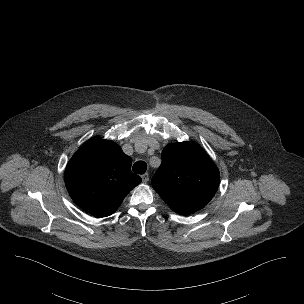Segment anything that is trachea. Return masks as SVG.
<instances>
[{
  "mask_svg": "<svg viewBox=\"0 0 304 304\" xmlns=\"http://www.w3.org/2000/svg\"><path fill=\"white\" fill-rule=\"evenodd\" d=\"M146 169L147 164L144 161H137L132 167L133 172L137 174H144L146 172Z\"/></svg>",
  "mask_w": 304,
  "mask_h": 304,
  "instance_id": "3493384b",
  "label": "trachea"
}]
</instances>
